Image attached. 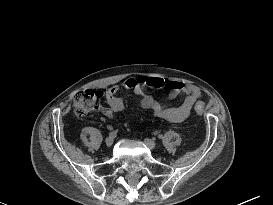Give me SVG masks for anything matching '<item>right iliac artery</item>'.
<instances>
[{
	"label": "right iliac artery",
	"instance_id": "82829eb1",
	"mask_svg": "<svg viewBox=\"0 0 273 205\" xmlns=\"http://www.w3.org/2000/svg\"><path fill=\"white\" fill-rule=\"evenodd\" d=\"M116 135H117V132H116V131H113V132H110V133H109V136H112V137H116Z\"/></svg>",
	"mask_w": 273,
	"mask_h": 205
}]
</instances>
